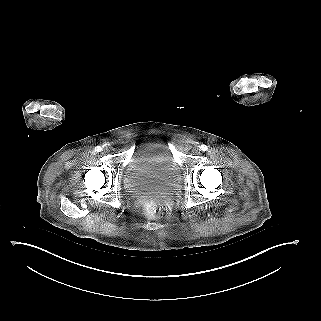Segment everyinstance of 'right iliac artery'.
<instances>
[{
  "label": "right iliac artery",
  "instance_id": "right-iliac-artery-1",
  "mask_svg": "<svg viewBox=\"0 0 321 321\" xmlns=\"http://www.w3.org/2000/svg\"><path fill=\"white\" fill-rule=\"evenodd\" d=\"M102 148L100 146L95 147V152H101Z\"/></svg>",
  "mask_w": 321,
  "mask_h": 321
}]
</instances>
